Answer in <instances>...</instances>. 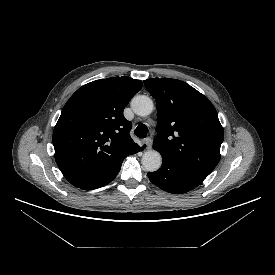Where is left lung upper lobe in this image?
Here are the masks:
<instances>
[{
  "label": "left lung upper lobe",
  "instance_id": "5c2ea615",
  "mask_svg": "<svg viewBox=\"0 0 275 275\" xmlns=\"http://www.w3.org/2000/svg\"><path fill=\"white\" fill-rule=\"evenodd\" d=\"M145 87L157 104L153 148L205 177L220 160L224 132L213 104L187 83L152 78Z\"/></svg>",
  "mask_w": 275,
  "mask_h": 275
}]
</instances>
